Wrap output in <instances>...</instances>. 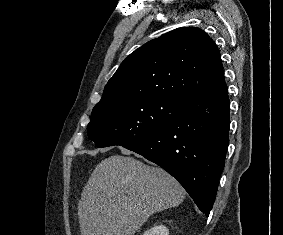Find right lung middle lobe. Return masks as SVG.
Returning a JSON list of instances; mask_svg holds the SVG:
<instances>
[{
	"label": "right lung middle lobe",
	"mask_w": 283,
	"mask_h": 235,
	"mask_svg": "<svg viewBox=\"0 0 283 235\" xmlns=\"http://www.w3.org/2000/svg\"><path fill=\"white\" fill-rule=\"evenodd\" d=\"M180 103L169 97H130L95 106L88 136L100 148L136 142L166 126Z\"/></svg>",
	"instance_id": "1"
}]
</instances>
